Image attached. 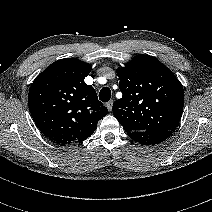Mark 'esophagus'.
I'll use <instances>...</instances> for the list:
<instances>
[{"mask_svg": "<svg viewBox=\"0 0 212 212\" xmlns=\"http://www.w3.org/2000/svg\"><path fill=\"white\" fill-rule=\"evenodd\" d=\"M106 107L108 108L109 111H112V108H113V101H109L107 104H106Z\"/></svg>", "mask_w": 212, "mask_h": 212, "instance_id": "1", "label": "esophagus"}]
</instances>
